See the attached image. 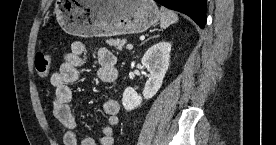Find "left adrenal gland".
Masks as SVG:
<instances>
[{"instance_id": "left-adrenal-gland-1", "label": "left adrenal gland", "mask_w": 276, "mask_h": 145, "mask_svg": "<svg viewBox=\"0 0 276 145\" xmlns=\"http://www.w3.org/2000/svg\"><path fill=\"white\" fill-rule=\"evenodd\" d=\"M155 37H157V36L149 37V38L146 39L144 42H147L148 40H150V39H152V38H155ZM144 42H143V43H144Z\"/></svg>"}]
</instances>
